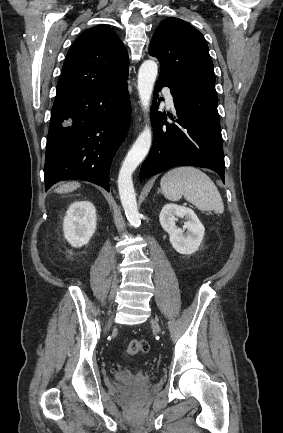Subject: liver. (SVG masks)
<instances>
[{
	"label": "liver",
	"mask_w": 283,
	"mask_h": 433,
	"mask_svg": "<svg viewBox=\"0 0 283 433\" xmlns=\"http://www.w3.org/2000/svg\"><path fill=\"white\" fill-rule=\"evenodd\" d=\"M79 186L80 182H67V184H62V186L55 188V192H72V190H76Z\"/></svg>",
	"instance_id": "liver-1"
}]
</instances>
